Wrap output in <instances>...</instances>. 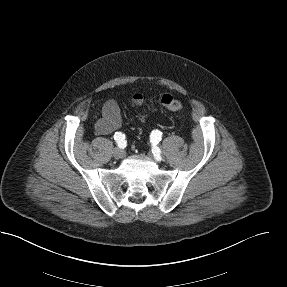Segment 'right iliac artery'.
Segmentation results:
<instances>
[{"instance_id":"right-iliac-artery-1","label":"right iliac artery","mask_w":287,"mask_h":287,"mask_svg":"<svg viewBox=\"0 0 287 287\" xmlns=\"http://www.w3.org/2000/svg\"><path fill=\"white\" fill-rule=\"evenodd\" d=\"M114 139L116 140L118 147L124 149L126 147L125 135L121 132H116L114 134Z\"/></svg>"}]
</instances>
